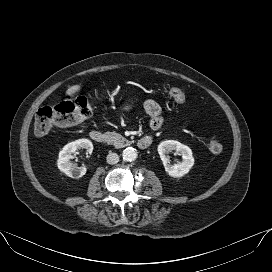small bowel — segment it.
I'll use <instances>...</instances> for the list:
<instances>
[{"mask_svg":"<svg viewBox=\"0 0 272 272\" xmlns=\"http://www.w3.org/2000/svg\"><path fill=\"white\" fill-rule=\"evenodd\" d=\"M143 108L150 116V128L153 131L159 130L163 124L162 110L160 105L152 99H146L143 101Z\"/></svg>","mask_w":272,"mask_h":272,"instance_id":"c3829d8e","label":"small bowel"}]
</instances>
